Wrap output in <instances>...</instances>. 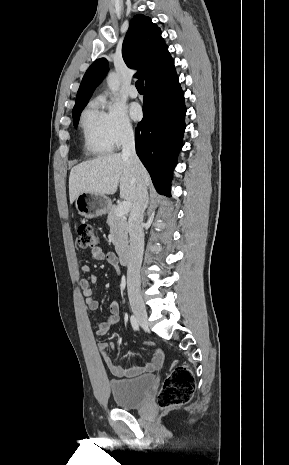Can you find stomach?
Returning a JSON list of instances; mask_svg holds the SVG:
<instances>
[{"label":"stomach","instance_id":"1","mask_svg":"<svg viewBox=\"0 0 289 465\" xmlns=\"http://www.w3.org/2000/svg\"><path fill=\"white\" fill-rule=\"evenodd\" d=\"M77 212L87 219L105 214L111 207V200L106 195L81 193L75 199Z\"/></svg>","mask_w":289,"mask_h":465}]
</instances>
